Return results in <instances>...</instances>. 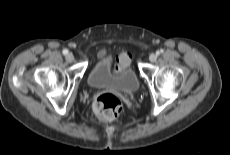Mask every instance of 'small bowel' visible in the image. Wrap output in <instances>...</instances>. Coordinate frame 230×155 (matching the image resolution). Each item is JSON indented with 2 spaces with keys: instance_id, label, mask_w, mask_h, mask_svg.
<instances>
[{
  "instance_id": "1",
  "label": "small bowel",
  "mask_w": 230,
  "mask_h": 155,
  "mask_svg": "<svg viewBox=\"0 0 230 155\" xmlns=\"http://www.w3.org/2000/svg\"><path fill=\"white\" fill-rule=\"evenodd\" d=\"M126 55L127 54H121L119 57H118V64H117V70H122L124 69L128 64H129V59H126ZM104 56V53H100L98 55V57H103Z\"/></svg>"
}]
</instances>
